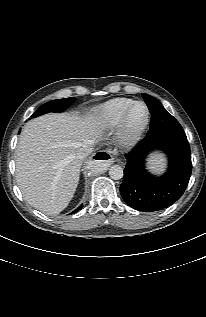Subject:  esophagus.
Instances as JSON below:
<instances>
[{
    "label": "esophagus",
    "instance_id": "34e87169",
    "mask_svg": "<svg viewBox=\"0 0 206 317\" xmlns=\"http://www.w3.org/2000/svg\"><path fill=\"white\" fill-rule=\"evenodd\" d=\"M116 150L107 148L102 151H98L94 154L93 162L104 164V166H110L114 162L113 155H115Z\"/></svg>",
    "mask_w": 206,
    "mask_h": 317
}]
</instances>
